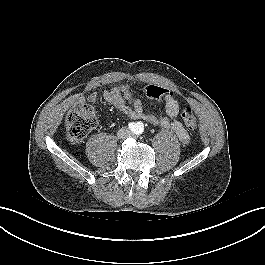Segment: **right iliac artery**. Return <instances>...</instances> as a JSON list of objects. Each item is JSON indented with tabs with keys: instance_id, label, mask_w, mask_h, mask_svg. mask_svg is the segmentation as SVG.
<instances>
[{
	"instance_id": "82829eb1",
	"label": "right iliac artery",
	"mask_w": 265,
	"mask_h": 265,
	"mask_svg": "<svg viewBox=\"0 0 265 265\" xmlns=\"http://www.w3.org/2000/svg\"><path fill=\"white\" fill-rule=\"evenodd\" d=\"M128 127L131 131L136 132L137 127H138V123L131 122L128 124Z\"/></svg>"
}]
</instances>
